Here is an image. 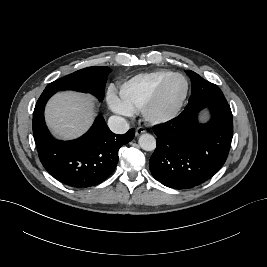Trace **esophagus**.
Returning <instances> with one entry per match:
<instances>
[{"instance_id": "34e87169", "label": "esophagus", "mask_w": 267, "mask_h": 267, "mask_svg": "<svg viewBox=\"0 0 267 267\" xmlns=\"http://www.w3.org/2000/svg\"><path fill=\"white\" fill-rule=\"evenodd\" d=\"M145 131L146 130L144 129V127L140 126V127H137L135 134H136V136H139V135L145 133Z\"/></svg>"}]
</instances>
